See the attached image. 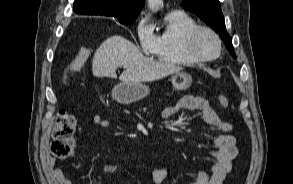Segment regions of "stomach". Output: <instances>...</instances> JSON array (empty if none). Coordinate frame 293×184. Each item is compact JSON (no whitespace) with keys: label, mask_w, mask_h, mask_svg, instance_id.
Returning <instances> with one entry per match:
<instances>
[{"label":"stomach","mask_w":293,"mask_h":184,"mask_svg":"<svg viewBox=\"0 0 293 184\" xmlns=\"http://www.w3.org/2000/svg\"><path fill=\"white\" fill-rule=\"evenodd\" d=\"M172 85L177 90H186L192 84V77L185 72L174 73L171 77ZM149 94V87L142 82H121L112 90L113 98L121 104H130L145 98Z\"/></svg>","instance_id":"obj_1"}]
</instances>
